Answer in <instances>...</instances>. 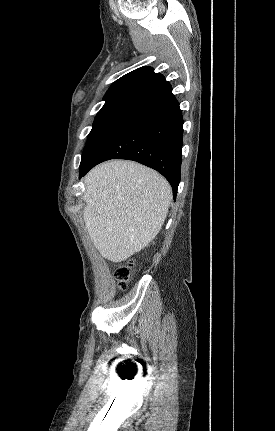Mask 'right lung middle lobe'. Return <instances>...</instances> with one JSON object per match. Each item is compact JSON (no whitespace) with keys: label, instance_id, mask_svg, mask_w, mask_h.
Wrapping results in <instances>:
<instances>
[{"label":"right lung middle lobe","instance_id":"obj_1","mask_svg":"<svg viewBox=\"0 0 275 431\" xmlns=\"http://www.w3.org/2000/svg\"><path fill=\"white\" fill-rule=\"evenodd\" d=\"M135 111L118 110L98 113L88 135L80 169L87 166L97 153L107 144L111 137L132 117Z\"/></svg>","mask_w":275,"mask_h":431}]
</instances>
